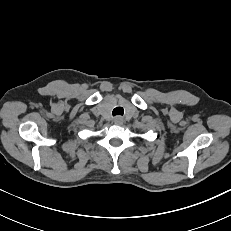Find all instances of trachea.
<instances>
[{
  "instance_id": "obj_1",
  "label": "trachea",
  "mask_w": 231,
  "mask_h": 231,
  "mask_svg": "<svg viewBox=\"0 0 231 231\" xmlns=\"http://www.w3.org/2000/svg\"><path fill=\"white\" fill-rule=\"evenodd\" d=\"M124 113V109L122 107H116L114 108L112 114L113 116H116V115H123Z\"/></svg>"
}]
</instances>
